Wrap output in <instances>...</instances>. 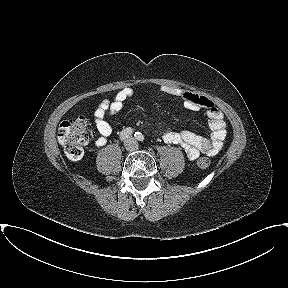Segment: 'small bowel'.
<instances>
[{
  "label": "small bowel",
  "instance_id": "small-bowel-1",
  "mask_svg": "<svg viewBox=\"0 0 288 288\" xmlns=\"http://www.w3.org/2000/svg\"><path fill=\"white\" fill-rule=\"evenodd\" d=\"M159 91L163 94L180 98L188 110H203L208 118V125L211 130L208 137L191 131H167L163 134V140L166 143L181 146L190 160H195L201 152L210 156L217 155L223 148L226 138V123L223 113L213 101L205 96L169 86H161ZM133 94L134 92L131 88H123L111 100H103L98 103L94 111L96 124L95 144L97 146H104L112 133V127L106 121V117L120 112L125 102Z\"/></svg>",
  "mask_w": 288,
  "mask_h": 288
}]
</instances>
